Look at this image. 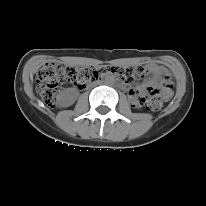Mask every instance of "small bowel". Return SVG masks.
<instances>
[{
    "label": "small bowel",
    "mask_w": 206,
    "mask_h": 206,
    "mask_svg": "<svg viewBox=\"0 0 206 206\" xmlns=\"http://www.w3.org/2000/svg\"><path fill=\"white\" fill-rule=\"evenodd\" d=\"M151 72L154 74L155 77H161L167 74V70L164 67L158 66V65H152ZM144 89H145L144 86L140 88H130L128 90V93L130 97L132 98V100L136 102L138 96L142 94Z\"/></svg>",
    "instance_id": "small-bowel-1"
}]
</instances>
